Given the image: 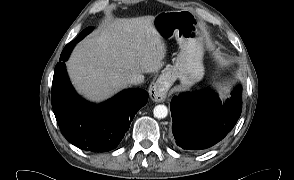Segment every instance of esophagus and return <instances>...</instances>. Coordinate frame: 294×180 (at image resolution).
<instances>
[{
    "label": "esophagus",
    "mask_w": 294,
    "mask_h": 180,
    "mask_svg": "<svg viewBox=\"0 0 294 180\" xmlns=\"http://www.w3.org/2000/svg\"><path fill=\"white\" fill-rule=\"evenodd\" d=\"M173 81L170 73L162 74L156 82H153L149 86V96L155 102H163L167 96V91Z\"/></svg>",
    "instance_id": "obj_1"
}]
</instances>
